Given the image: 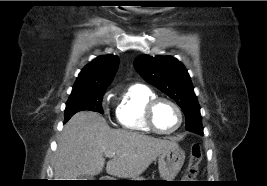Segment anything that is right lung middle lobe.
<instances>
[{
  "label": "right lung middle lobe",
  "instance_id": "dd1d6c3e",
  "mask_svg": "<svg viewBox=\"0 0 267 186\" xmlns=\"http://www.w3.org/2000/svg\"><path fill=\"white\" fill-rule=\"evenodd\" d=\"M106 88L97 90L72 91L66 103L65 122H67L75 113L82 110H90L104 113L102 109V98Z\"/></svg>",
  "mask_w": 267,
  "mask_h": 186
}]
</instances>
